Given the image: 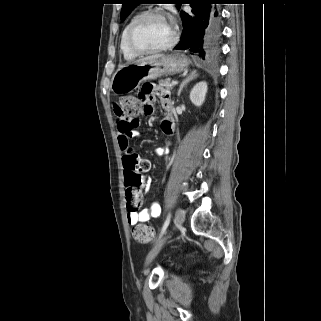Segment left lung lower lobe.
Wrapping results in <instances>:
<instances>
[{
  "mask_svg": "<svg viewBox=\"0 0 321 321\" xmlns=\"http://www.w3.org/2000/svg\"><path fill=\"white\" fill-rule=\"evenodd\" d=\"M220 0H191L193 16L180 12L183 31L177 50L199 53L202 58L213 52L221 36Z\"/></svg>",
  "mask_w": 321,
  "mask_h": 321,
  "instance_id": "0a47b994",
  "label": "left lung lower lobe"
}]
</instances>
